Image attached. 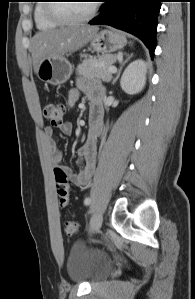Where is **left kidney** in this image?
I'll return each instance as SVG.
<instances>
[{"instance_id":"obj_1","label":"left kidney","mask_w":195,"mask_h":299,"mask_svg":"<svg viewBox=\"0 0 195 299\" xmlns=\"http://www.w3.org/2000/svg\"><path fill=\"white\" fill-rule=\"evenodd\" d=\"M147 64L142 59H138L130 63L125 69L120 85L127 94H137L145 86L146 83Z\"/></svg>"}]
</instances>
